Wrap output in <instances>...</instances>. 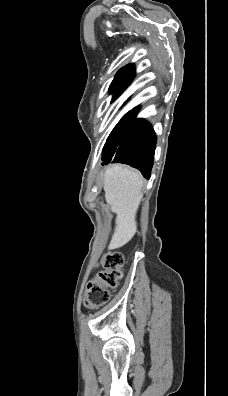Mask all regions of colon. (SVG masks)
<instances>
[{"instance_id": "obj_1", "label": "colon", "mask_w": 228, "mask_h": 396, "mask_svg": "<svg viewBox=\"0 0 228 396\" xmlns=\"http://www.w3.org/2000/svg\"><path fill=\"white\" fill-rule=\"evenodd\" d=\"M124 258L119 252L106 253L100 260L101 270L88 283L84 304L95 309L106 304L123 274Z\"/></svg>"}]
</instances>
